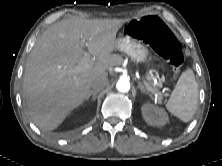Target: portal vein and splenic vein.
Returning <instances> with one entry per match:
<instances>
[{
    "mask_svg": "<svg viewBox=\"0 0 222 166\" xmlns=\"http://www.w3.org/2000/svg\"><path fill=\"white\" fill-rule=\"evenodd\" d=\"M82 43L84 44V41ZM89 60H90V55L88 53H85L84 57L80 61L79 65L76 66V70L77 71H85V70L90 69L91 64L89 63ZM144 83L146 84V86L150 90L151 87H150L149 83H147L146 81H144ZM155 95L158 96L159 98L162 97L161 92H157V93H155Z\"/></svg>",
    "mask_w": 222,
    "mask_h": 166,
    "instance_id": "obj_1",
    "label": "portal vein and splenic vein"
}]
</instances>
